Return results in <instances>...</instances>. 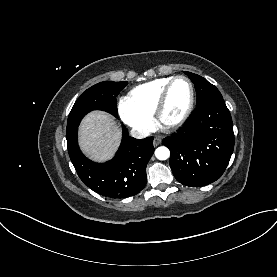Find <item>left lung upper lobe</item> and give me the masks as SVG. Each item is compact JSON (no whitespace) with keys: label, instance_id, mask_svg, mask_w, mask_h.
Instances as JSON below:
<instances>
[{"label":"left lung upper lobe","instance_id":"left-lung-upper-lobe-1","mask_svg":"<svg viewBox=\"0 0 277 277\" xmlns=\"http://www.w3.org/2000/svg\"><path fill=\"white\" fill-rule=\"evenodd\" d=\"M185 74L192 80L195 85L197 94V106L203 104L213 97L222 96L219 90L213 84L208 82L205 78L187 71H185Z\"/></svg>","mask_w":277,"mask_h":277}]
</instances>
